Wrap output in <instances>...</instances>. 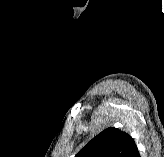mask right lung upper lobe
I'll list each match as a JSON object with an SVG mask.
<instances>
[{
  "instance_id": "right-lung-upper-lobe-1",
  "label": "right lung upper lobe",
  "mask_w": 164,
  "mask_h": 157,
  "mask_svg": "<svg viewBox=\"0 0 164 157\" xmlns=\"http://www.w3.org/2000/svg\"><path fill=\"white\" fill-rule=\"evenodd\" d=\"M136 148L130 135L116 128H107L95 136L75 157H130Z\"/></svg>"
}]
</instances>
